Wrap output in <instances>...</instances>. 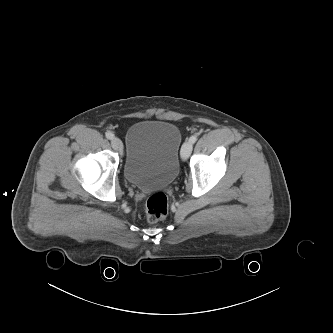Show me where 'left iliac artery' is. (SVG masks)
<instances>
[{
	"label": "left iliac artery",
	"instance_id": "44dca946",
	"mask_svg": "<svg viewBox=\"0 0 333 333\" xmlns=\"http://www.w3.org/2000/svg\"><path fill=\"white\" fill-rule=\"evenodd\" d=\"M197 140V136L196 135H193L189 138V142H191L192 144L195 143Z\"/></svg>",
	"mask_w": 333,
	"mask_h": 333
}]
</instances>
